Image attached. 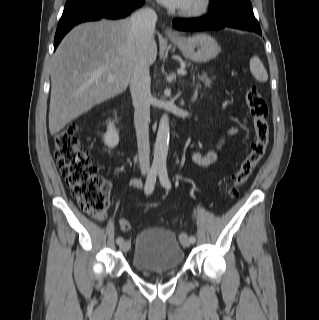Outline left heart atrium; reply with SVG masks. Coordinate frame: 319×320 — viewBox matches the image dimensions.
I'll use <instances>...</instances> for the list:
<instances>
[{"mask_svg": "<svg viewBox=\"0 0 319 320\" xmlns=\"http://www.w3.org/2000/svg\"><path fill=\"white\" fill-rule=\"evenodd\" d=\"M165 6L171 9H183L185 8L192 0H159Z\"/></svg>", "mask_w": 319, "mask_h": 320, "instance_id": "left-heart-atrium-1", "label": "left heart atrium"}]
</instances>
